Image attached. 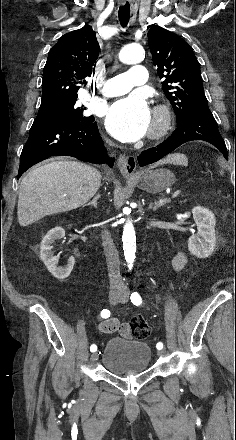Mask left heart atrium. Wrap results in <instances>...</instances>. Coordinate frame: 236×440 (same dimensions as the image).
Returning <instances> with one entry per match:
<instances>
[{
	"label": "left heart atrium",
	"instance_id": "left-heart-atrium-1",
	"mask_svg": "<svg viewBox=\"0 0 236 440\" xmlns=\"http://www.w3.org/2000/svg\"><path fill=\"white\" fill-rule=\"evenodd\" d=\"M151 124V112L145 98L138 94L113 102L106 110L108 132L123 142H134L143 137Z\"/></svg>",
	"mask_w": 236,
	"mask_h": 440
}]
</instances>
